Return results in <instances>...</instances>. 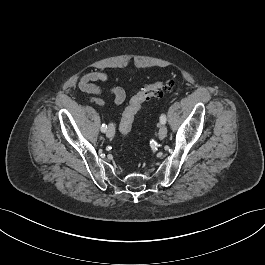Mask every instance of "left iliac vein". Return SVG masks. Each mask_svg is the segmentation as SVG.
I'll list each match as a JSON object with an SVG mask.
<instances>
[{"label": "left iliac vein", "instance_id": "1", "mask_svg": "<svg viewBox=\"0 0 265 265\" xmlns=\"http://www.w3.org/2000/svg\"><path fill=\"white\" fill-rule=\"evenodd\" d=\"M158 136L161 140L167 136V127L164 124L160 126Z\"/></svg>", "mask_w": 265, "mask_h": 265}]
</instances>
